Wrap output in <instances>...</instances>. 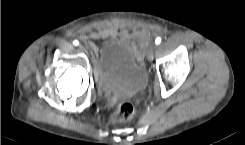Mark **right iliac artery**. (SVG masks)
Wrapping results in <instances>:
<instances>
[{"mask_svg": "<svg viewBox=\"0 0 245 145\" xmlns=\"http://www.w3.org/2000/svg\"><path fill=\"white\" fill-rule=\"evenodd\" d=\"M73 44H74L75 46H77V45L79 44V42H78L77 40H74V41H73Z\"/></svg>", "mask_w": 245, "mask_h": 145, "instance_id": "1", "label": "right iliac artery"}]
</instances>
